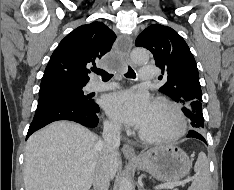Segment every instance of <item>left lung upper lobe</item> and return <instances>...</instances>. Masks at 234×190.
<instances>
[{
  "mask_svg": "<svg viewBox=\"0 0 234 190\" xmlns=\"http://www.w3.org/2000/svg\"><path fill=\"white\" fill-rule=\"evenodd\" d=\"M137 47L148 49L162 70L166 82L160 91L183 105L193 129L202 132V91L196 61L184 39L172 28L161 24L147 27L136 39Z\"/></svg>",
  "mask_w": 234,
  "mask_h": 190,
  "instance_id": "5c2ea615",
  "label": "left lung upper lobe"
}]
</instances>
